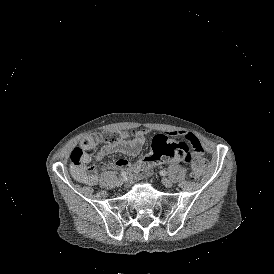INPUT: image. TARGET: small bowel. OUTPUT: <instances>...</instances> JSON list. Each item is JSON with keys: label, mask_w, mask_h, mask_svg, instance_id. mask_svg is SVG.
I'll return each instance as SVG.
<instances>
[{"label": "small bowel", "mask_w": 274, "mask_h": 274, "mask_svg": "<svg viewBox=\"0 0 274 274\" xmlns=\"http://www.w3.org/2000/svg\"><path fill=\"white\" fill-rule=\"evenodd\" d=\"M149 130L141 129L137 131L132 139L122 138L120 141L110 144H103L96 153H84L81 156L78 164L71 166V173L75 180L80 183L89 184L96 178V168L86 167L93 159L99 161L104 157L113 153H125L131 156H136L141 151L142 147L146 143ZM171 135L182 136L191 146L195 156L197 154H204V146L199 138L187 131L172 132ZM189 158V150L185 146L183 141H175L169 139L165 134H155L153 136V144L149 149L146 157H140L137 159L136 164H132L125 158H120L114 161L112 164L105 166V169L112 170H125L134 169L137 167L140 170H145L149 166V170L154 165L159 163H186Z\"/></svg>", "instance_id": "obj_1"}]
</instances>
